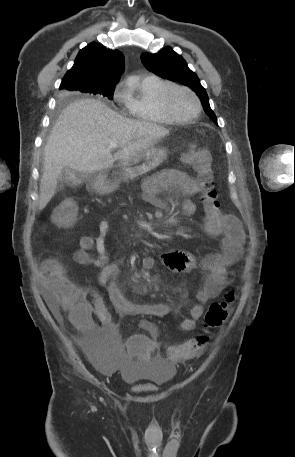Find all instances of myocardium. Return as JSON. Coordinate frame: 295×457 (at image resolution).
<instances>
[{"instance_id":"f54148a6","label":"myocardium","mask_w":295,"mask_h":457,"mask_svg":"<svg viewBox=\"0 0 295 457\" xmlns=\"http://www.w3.org/2000/svg\"><path fill=\"white\" fill-rule=\"evenodd\" d=\"M176 89L186 91L187 93H189L191 95V97L195 101L196 110L192 116L179 117L173 113V111L169 105L168 98H169L170 93ZM159 103H160V106H161L162 110L164 111V113L169 118H171L174 122H177V123H186V122L195 120L200 115L201 108H202L199 97L192 89H190L189 87L183 86V85L175 84V83H169L161 90V92L159 94Z\"/></svg>"}]
</instances>
